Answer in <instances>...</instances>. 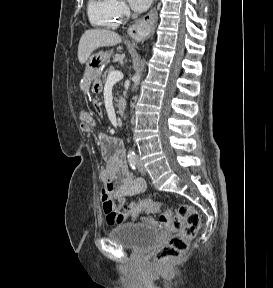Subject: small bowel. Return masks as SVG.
<instances>
[{"mask_svg":"<svg viewBox=\"0 0 273 288\" xmlns=\"http://www.w3.org/2000/svg\"><path fill=\"white\" fill-rule=\"evenodd\" d=\"M80 121V128L83 132L92 131L95 120L91 114L82 112ZM99 145L105 162L100 173L101 180L105 184L100 193L103 211L109 225L122 224L129 217V214L123 211L125 199L142 194L146 189V183L142 178H135L131 175L125 161V151L119 139L101 134Z\"/></svg>","mask_w":273,"mask_h":288,"instance_id":"c3829d8e","label":"small bowel"}]
</instances>
